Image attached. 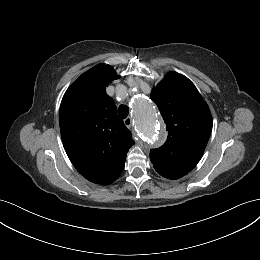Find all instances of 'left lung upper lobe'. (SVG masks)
Masks as SVG:
<instances>
[{
    "instance_id": "left-lung-upper-lobe-1",
    "label": "left lung upper lobe",
    "mask_w": 260,
    "mask_h": 260,
    "mask_svg": "<svg viewBox=\"0 0 260 260\" xmlns=\"http://www.w3.org/2000/svg\"><path fill=\"white\" fill-rule=\"evenodd\" d=\"M151 99L165 121L168 137L163 146L150 151L155 170L176 180L200 161L212 131L208 105L195 85L177 72H169L153 88Z\"/></svg>"
}]
</instances>
